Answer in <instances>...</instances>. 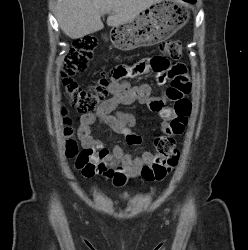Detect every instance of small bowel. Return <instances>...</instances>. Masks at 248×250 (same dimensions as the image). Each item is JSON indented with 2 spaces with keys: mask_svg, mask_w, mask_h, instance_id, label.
Returning <instances> with one entry per match:
<instances>
[{
  "mask_svg": "<svg viewBox=\"0 0 248 250\" xmlns=\"http://www.w3.org/2000/svg\"><path fill=\"white\" fill-rule=\"evenodd\" d=\"M155 58L142 59L132 68L127 66L115 68L111 73V82L108 87V93L111 97L105 100L95 113H85L81 116L77 128V136L84 149H90L95 153L94 165L97 168V171L93 172L87 168L77 167L83 176L91 178L101 175L111 179L117 187L125 185L128 179L138 176L150 180L144 176L143 169L155 163L157 159L155 153L145 151L141 156L133 158L126 154L120 145L116 144L108 148L92 135V125L98 123L109 126L118 134L126 135L129 144L140 142V137L131 132L136 120L134 114L121 111L112 114L119 104L130 105L136 101L148 104L163 119L161 124L163 134L170 137L182 134L191 108V102L188 98L191 91V83L184 64H169L167 61L161 64L160 74L166 77V79L173 77L170 86L180 96L178 100L174 101L175 104L173 106L166 105V102L169 100L168 88L159 97L155 98L152 96V90L148 84L132 85L124 80L125 76L131 71L137 74L151 71L158 72L156 65L153 63ZM156 103H160L162 106L156 107ZM171 170L169 169L168 173Z\"/></svg>",
  "mask_w": 248,
  "mask_h": 250,
  "instance_id": "1",
  "label": "small bowel"
}]
</instances>
